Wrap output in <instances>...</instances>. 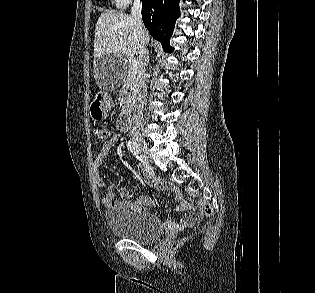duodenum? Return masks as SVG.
Masks as SVG:
<instances>
[{
  "label": "duodenum",
  "mask_w": 315,
  "mask_h": 293,
  "mask_svg": "<svg viewBox=\"0 0 315 293\" xmlns=\"http://www.w3.org/2000/svg\"><path fill=\"white\" fill-rule=\"evenodd\" d=\"M132 124V115L129 110H124L118 120V126L121 130L127 131L130 129Z\"/></svg>",
  "instance_id": "obj_1"
}]
</instances>
